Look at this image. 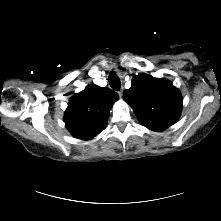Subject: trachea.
<instances>
[{"mask_svg": "<svg viewBox=\"0 0 221 221\" xmlns=\"http://www.w3.org/2000/svg\"><path fill=\"white\" fill-rule=\"evenodd\" d=\"M108 81L112 89L116 91L120 90L121 82L119 77L115 74V72L109 75Z\"/></svg>", "mask_w": 221, "mask_h": 221, "instance_id": "trachea-1", "label": "trachea"}]
</instances>
